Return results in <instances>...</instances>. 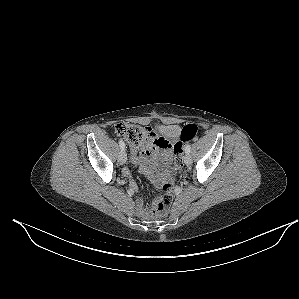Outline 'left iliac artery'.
<instances>
[{
  "mask_svg": "<svg viewBox=\"0 0 299 299\" xmlns=\"http://www.w3.org/2000/svg\"><path fill=\"white\" fill-rule=\"evenodd\" d=\"M190 149H191V145L188 144V145L186 146V148H185V153H186V154H189V153H190Z\"/></svg>",
  "mask_w": 299,
  "mask_h": 299,
  "instance_id": "left-iliac-artery-1",
  "label": "left iliac artery"
}]
</instances>
